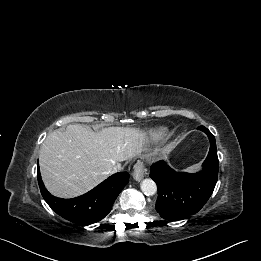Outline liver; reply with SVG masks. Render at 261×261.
<instances>
[{
	"label": "liver",
	"mask_w": 261,
	"mask_h": 261,
	"mask_svg": "<svg viewBox=\"0 0 261 261\" xmlns=\"http://www.w3.org/2000/svg\"><path fill=\"white\" fill-rule=\"evenodd\" d=\"M146 132L109 127L94 132L80 124L55 130L43 142L39 165L48 191L61 198L82 195L109 176L114 166L143 150Z\"/></svg>",
	"instance_id": "1"
}]
</instances>
